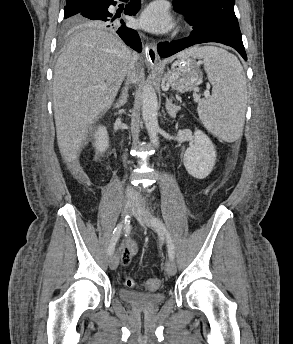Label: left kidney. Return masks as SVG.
<instances>
[{"label":"left kidney","instance_id":"obj_1","mask_svg":"<svg viewBox=\"0 0 293 344\" xmlns=\"http://www.w3.org/2000/svg\"><path fill=\"white\" fill-rule=\"evenodd\" d=\"M187 172L196 179L206 178L216 162V150L210 138L201 130L194 132V143L183 158Z\"/></svg>","mask_w":293,"mask_h":344}]
</instances>
